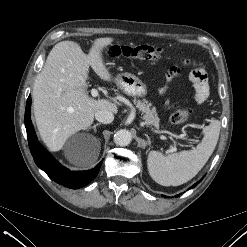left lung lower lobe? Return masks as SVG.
<instances>
[{
    "label": "left lung lower lobe",
    "mask_w": 247,
    "mask_h": 247,
    "mask_svg": "<svg viewBox=\"0 0 247 247\" xmlns=\"http://www.w3.org/2000/svg\"><path fill=\"white\" fill-rule=\"evenodd\" d=\"M201 181V180H200ZM200 181H198L197 183H195L191 188H193V187H195L197 184H199V182ZM165 197V196H164ZM176 197H177V195H176Z\"/></svg>",
    "instance_id": "left-lung-lower-lobe-1"
}]
</instances>
